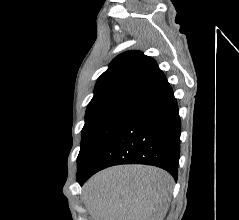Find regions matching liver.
I'll list each match as a JSON object with an SVG mask.
<instances>
[{
  "label": "liver",
  "mask_w": 239,
  "mask_h": 220,
  "mask_svg": "<svg viewBox=\"0 0 239 220\" xmlns=\"http://www.w3.org/2000/svg\"><path fill=\"white\" fill-rule=\"evenodd\" d=\"M173 178L145 165H119L91 177L84 186L92 220H163Z\"/></svg>",
  "instance_id": "liver-1"
}]
</instances>
